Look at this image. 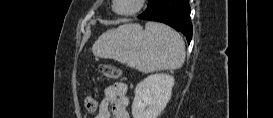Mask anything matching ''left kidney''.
I'll return each instance as SVG.
<instances>
[{
	"label": "left kidney",
	"mask_w": 273,
	"mask_h": 118,
	"mask_svg": "<svg viewBox=\"0 0 273 118\" xmlns=\"http://www.w3.org/2000/svg\"><path fill=\"white\" fill-rule=\"evenodd\" d=\"M174 81L169 74H152L139 82L132 104L133 118H157L171 98Z\"/></svg>",
	"instance_id": "left-kidney-1"
}]
</instances>
